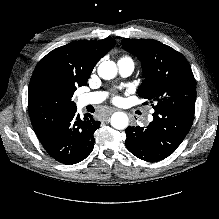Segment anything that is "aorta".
Here are the masks:
<instances>
[{"instance_id": "762f6f07", "label": "aorta", "mask_w": 219, "mask_h": 219, "mask_svg": "<svg viewBox=\"0 0 219 219\" xmlns=\"http://www.w3.org/2000/svg\"><path fill=\"white\" fill-rule=\"evenodd\" d=\"M98 75L105 80L113 79L117 75V66L113 61H103L98 66ZM111 126L117 130L125 129L129 124L128 116L124 112H115L111 116Z\"/></svg>"}]
</instances>
